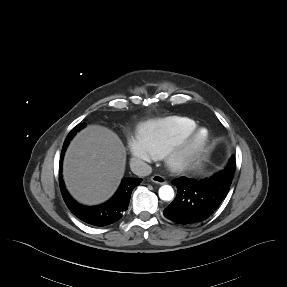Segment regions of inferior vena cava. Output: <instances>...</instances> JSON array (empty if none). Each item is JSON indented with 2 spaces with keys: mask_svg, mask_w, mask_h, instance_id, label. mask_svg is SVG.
I'll return each instance as SVG.
<instances>
[{
  "mask_svg": "<svg viewBox=\"0 0 287 287\" xmlns=\"http://www.w3.org/2000/svg\"><path fill=\"white\" fill-rule=\"evenodd\" d=\"M130 167H131L132 172L139 177L148 176L152 172V168L150 165H148L144 161L137 159V158L131 159Z\"/></svg>",
  "mask_w": 287,
  "mask_h": 287,
  "instance_id": "inferior-vena-cava-1",
  "label": "inferior vena cava"
}]
</instances>
